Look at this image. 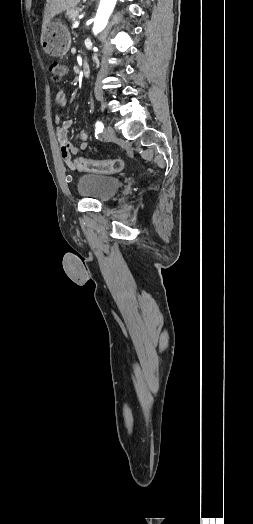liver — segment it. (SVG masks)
<instances>
[{
  "label": "liver",
  "instance_id": "liver-1",
  "mask_svg": "<svg viewBox=\"0 0 253 524\" xmlns=\"http://www.w3.org/2000/svg\"><path fill=\"white\" fill-rule=\"evenodd\" d=\"M79 2L80 0H46L42 32L45 30L54 16L62 13L63 11L73 9Z\"/></svg>",
  "mask_w": 253,
  "mask_h": 524
}]
</instances>
